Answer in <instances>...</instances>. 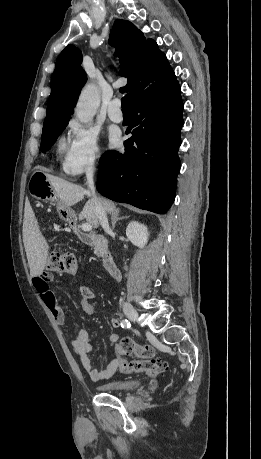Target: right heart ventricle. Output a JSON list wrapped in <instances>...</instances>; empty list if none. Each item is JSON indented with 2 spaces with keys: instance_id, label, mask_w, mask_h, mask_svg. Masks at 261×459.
Here are the masks:
<instances>
[{
  "instance_id": "obj_1",
  "label": "right heart ventricle",
  "mask_w": 261,
  "mask_h": 459,
  "mask_svg": "<svg viewBox=\"0 0 261 459\" xmlns=\"http://www.w3.org/2000/svg\"><path fill=\"white\" fill-rule=\"evenodd\" d=\"M69 148H70V145L64 139H60L58 141V144L56 147V157L57 159L61 160L63 164L67 158Z\"/></svg>"
}]
</instances>
